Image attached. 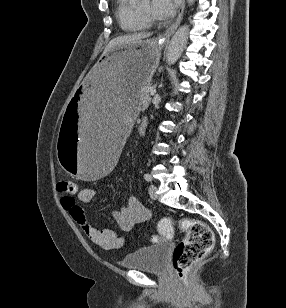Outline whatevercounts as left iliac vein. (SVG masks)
Here are the masks:
<instances>
[{"instance_id": "left-iliac-vein-1", "label": "left iliac vein", "mask_w": 286, "mask_h": 308, "mask_svg": "<svg viewBox=\"0 0 286 308\" xmlns=\"http://www.w3.org/2000/svg\"><path fill=\"white\" fill-rule=\"evenodd\" d=\"M148 192H149V195L150 197L153 199V200H156L158 195H157V187L154 185V184H151L149 186V189H148Z\"/></svg>"}]
</instances>
